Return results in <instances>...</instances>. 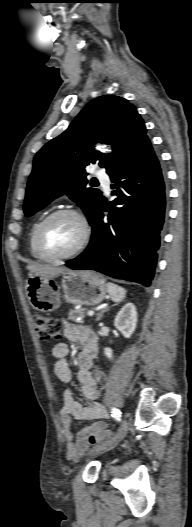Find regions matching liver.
Here are the masks:
<instances>
[{"instance_id": "6515ba94", "label": "liver", "mask_w": 192, "mask_h": 527, "mask_svg": "<svg viewBox=\"0 0 192 527\" xmlns=\"http://www.w3.org/2000/svg\"><path fill=\"white\" fill-rule=\"evenodd\" d=\"M26 268L35 276L48 278H54L59 276L60 274L70 272V270L65 267H57L38 263H31L27 265Z\"/></svg>"}]
</instances>
